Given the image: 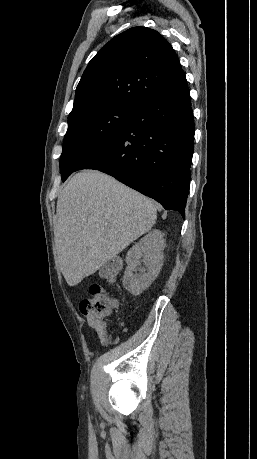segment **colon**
<instances>
[{"label":"colon","mask_w":257,"mask_h":459,"mask_svg":"<svg viewBox=\"0 0 257 459\" xmlns=\"http://www.w3.org/2000/svg\"><path fill=\"white\" fill-rule=\"evenodd\" d=\"M121 270V262L117 259L108 261L100 270L102 278L115 279ZM90 296L80 302V311L97 320H103L114 307L115 300L110 297L99 284H92L89 289Z\"/></svg>","instance_id":"5ec220e1"}]
</instances>
